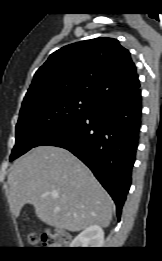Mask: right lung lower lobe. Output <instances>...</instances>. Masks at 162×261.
<instances>
[{
  "mask_svg": "<svg viewBox=\"0 0 162 261\" xmlns=\"http://www.w3.org/2000/svg\"><path fill=\"white\" fill-rule=\"evenodd\" d=\"M141 90H126L96 102L85 116L44 136L35 145L62 147L83 161L116 204L118 220L131 185L141 127Z\"/></svg>",
  "mask_w": 162,
  "mask_h": 261,
  "instance_id": "1",
  "label": "right lung lower lobe"
}]
</instances>
